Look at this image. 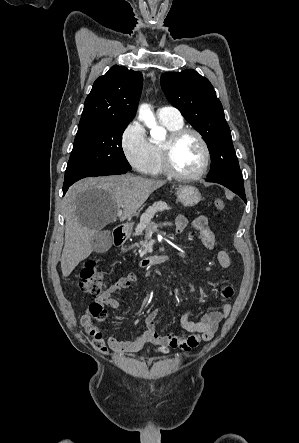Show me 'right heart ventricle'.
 Returning a JSON list of instances; mask_svg holds the SVG:
<instances>
[{
    "label": "right heart ventricle",
    "instance_id": "1",
    "mask_svg": "<svg viewBox=\"0 0 299 443\" xmlns=\"http://www.w3.org/2000/svg\"><path fill=\"white\" fill-rule=\"evenodd\" d=\"M162 124L171 132L183 127V122L176 123L167 120H161ZM150 147V164L146 173L158 176L164 174V169L161 162V142L151 141Z\"/></svg>",
    "mask_w": 299,
    "mask_h": 443
}]
</instances>
